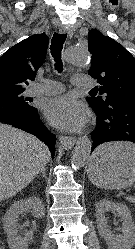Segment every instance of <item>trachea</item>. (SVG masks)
<instances>
[{
	"instance_id": "1",
	"label": "trachea",
	"mask_w": 135,
	"mask_h": 249,
	"mask_svg": "<svg viewBox=\"0 0 135 249\" xmlns=\"http://www.w3.org/2000/svg\"><path fill=\"white\" fill-rule=\"evenodd\" d=\"M67 34H58L55 33L53 35V38L51 40V54L55 60V69L61 73L63 71V64L61 61V52L63 48V44L66 40ZM91 91H96V90H91Z\"/></svg>"
}]
</instances>
